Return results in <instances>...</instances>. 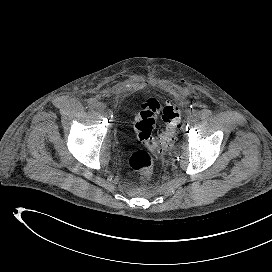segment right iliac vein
<instances>
[{
	"instance_id": "right-iliac-vein-1",
	"label": "right iliac vein",
	"mask_w": 272,
	"mask_h": 272,
	"mask_svg": "<svg viewBox=\"0 0 272 272\" xmlns=\"http://www.w3.org/2000/svg\"><path fill=\"white\" fill-rule=\"evenodd\" d=\"M96 109L99 113H104V110H105V106L103 103H100L98 102L97 106H96Z\"/></svg>"
}]
</instances>
